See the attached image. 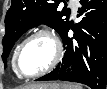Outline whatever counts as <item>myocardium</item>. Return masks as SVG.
Returning <instances> with one entry per match:
<instances>
[{
  "label": "myocardium",
  "instance_id": "obj_1",
  "mask_svg": "<svg viewBox=\"0 0 107 89\" xmlns=\"http://www.w3.org/2000/svg\"><path fill=\"white\" fill-rule=\"evenodd\" d=\"M39 35H45L52 40L54 47H55L54 58H53L52 62L45 69H43L39 72H36L34 74H23V73H21V71L19 70V67H18V58H19L20 52H21L22 48L24 47V45L29 40H31L32 38L39 36ZM62 55H63V47H62V43H61L60 39L58 38V36L52 30H50L48 28H40V29H37V30L33 31L32 33H30L17 46L14 57H13V69L19 77L36 78V77L42 76V75L52 71L61 61Z\"/></svg>",
  "mask_w": 107,
  "mask_h": 89
}]
</instances>
